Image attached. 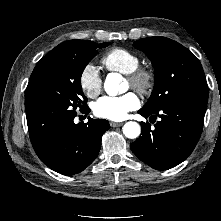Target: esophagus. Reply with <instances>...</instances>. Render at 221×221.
<instances>
[{
    "label": "esophagus",
    "mask_w": 221,
    "mask_h": 221,
    "mask_svg": "<svg viewBox=\"0 0 221 221\" xmlns=\"http://www.w3.org/2000/svg\"><path fill=\"white\" fill-rule=\"evenodd\" d=\"M123 125V123H117V122H110V126L111 127H120V126H122Z\"/></svg>",
    "instance_id": "esophagus-1"
}]
</instances>
